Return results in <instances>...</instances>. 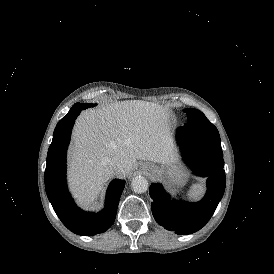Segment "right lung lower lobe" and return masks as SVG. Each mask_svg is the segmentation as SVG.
<instances>
[{"label":"right lung lower lobe","instance_id":"right-lung-lower-lobe-1","mask_svg":"<svg viewBox=\"0 0 274 274\" xmlns=\"http://www.w3.org/2000/svg\"><path fill=\"white\" fill-rule=\"evenodd\" d=\"M89 106L88 103L74 104L68 114L58 122L48 150L45 170V189L54 211L70 231L84 236L105 232L113 224L125 185V182L119 179L110 183L105 209L98 213L85 212L79 209L67 190L65 179L66 152L72 127L79 113Z\"/></svg>","mask_w":274,"mask_h":274}]
</instances>
